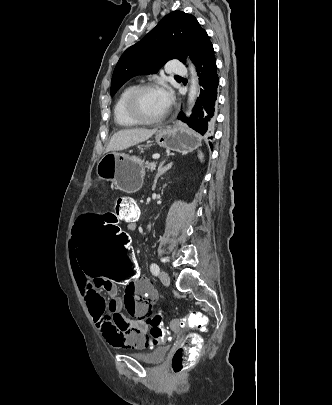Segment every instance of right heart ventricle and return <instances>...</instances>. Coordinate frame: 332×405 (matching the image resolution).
Returning <instances> with one entry per match:
<instances>
[{"instance_id":"1","label":"right heart ventricle","mask_w":332,"mask_h":405,"mask_svg":"<svg viewBox=\"0 0 332 405\" xmlns=\"http://www.w3.org/2000/svg\"><path fill=\"white\" fill-rule=\"evenodd\" d=\"M135 88L134 85L126 86L118 95L114 104V120L121 127H133L137 123L130 119L125 112V101L129 93Z\"/></svg>"}]
</instances>
